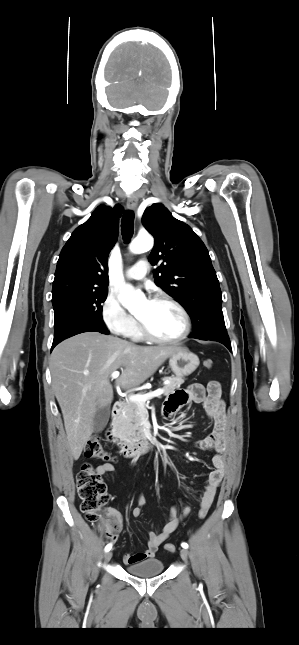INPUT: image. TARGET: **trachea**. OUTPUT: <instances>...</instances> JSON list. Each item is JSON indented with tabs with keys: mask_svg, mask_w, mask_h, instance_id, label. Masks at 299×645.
<instances>
[{
	"mask_svg": "<svg viewBox=\"0 0 299 645\" xmlns=\"http://www.w3.org/2000/svg\"><path fill=\"white\" fill-rule=\"evenodd\" d=\"M121 231L123 239L129 242L134 232V213L126 211L121 220Z\"/></svg>",
	"mask_w": 299,
	"mask_h": 645,
	"instance_id": "obj_1",
	"label": "trachea"
}]
</instances>
